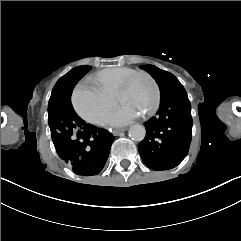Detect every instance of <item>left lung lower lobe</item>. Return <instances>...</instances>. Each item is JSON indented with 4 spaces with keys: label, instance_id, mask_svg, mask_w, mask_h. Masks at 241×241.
I'll return each instance as SVG.
<instances>
[{
    "label": "left lung lower lobe",
    "instance_id": "1",
    "mask_svg": "<svg viewBox=\"0 0 241 241\" xmlns=\"http://www.w3.org/2000/svg\"><path fill=\"white\" fill-rule=\"evenodd\" d=\"M191 105L185 89L161 97L156 116L144 123L147 135L139 144L143 162L153 170H168L187 155L191 143Z\"/></svg>",
    "mask_w": 241,
    "mask_h": 241
}]
</instances>
